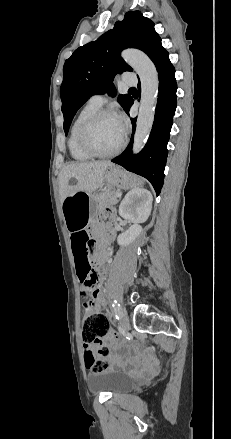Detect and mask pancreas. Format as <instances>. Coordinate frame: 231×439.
Instances as JSON below:
<instances>
[{
  "label": "pancreas",
  "instance_id": "pancreas-1",
  "mask_svg": "<svg viewBox=\"0 0 231 439\" xmlns=\"http://www.w3.org/2000/svg\"><path fill=\"white\" fill-rule=\"evenodd\" d=\"M115 190L107 189L104 190L97 197V202L101 207L108 206L110 204H116L118 202V196Z\"/></svg>",
  "mask_w": 231,
  "mask_h": 439
}]
</instances>
